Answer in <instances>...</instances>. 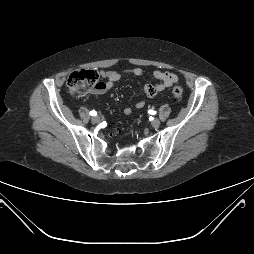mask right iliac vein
I'll list each match as a JSON object with an SVG mask.
<instances>
[{"mask_svg": "<svg viewBox=\"0 0 254 254\" xmlns=\"http://www.w3.org/2000/svg\"><path fill=\"white\" fill-rule=\"evenodd\" d=\"M91 121L93 122V123H99L100 122V117L99 116H93L92 118H91Z\"/></svg>", "mask_w": 254, "mask_h": 254, "instance_id": "obj_1", "label": "right iliac vein"}]
</instances>
